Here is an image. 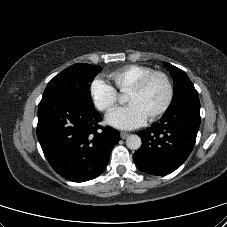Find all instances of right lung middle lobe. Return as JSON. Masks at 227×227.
<instances>
[{"instance_id": "right-lung-middle-lobe-1", "label": "right lung middle lobe", "mask_w": 227, "mask_h": 227, "mask_svg": "<svg viewBox=\"0 0 227 227\" xmlns=\"http://www.w3.org/2000/svg\"><path fill=\"white\" fill-rule=\"evenodd\" d=\"M101 70V67L87 63H77L66 68L49 81L42 100L69 96L83 105L94 107L89 89L94 77Z\"/></svg>"}]
</instances>
